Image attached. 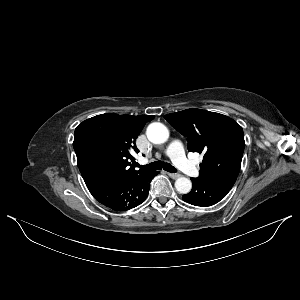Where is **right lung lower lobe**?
Returning <instances> with one entry per match:
<instances>
[{"instance_id": "obj_1", "label": "right lung lower lobe", "mask_w": 300, "mask_h": 300, "mask_svg": "<svg viewBox=\"0 0 300 300\" xmlns=\"http://www.w3.org/2000/svg\"><path fill=\"white\" fill-rule=\"evenodd\" d=\"M157 174L158 172L146 171L89 191L104 206L114 211H126L144 202L149 192L150 181Z\"/></svg>"}]
</instances>
